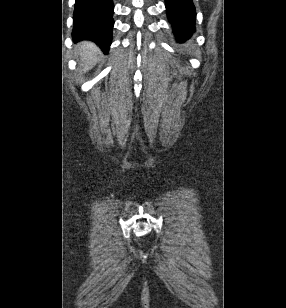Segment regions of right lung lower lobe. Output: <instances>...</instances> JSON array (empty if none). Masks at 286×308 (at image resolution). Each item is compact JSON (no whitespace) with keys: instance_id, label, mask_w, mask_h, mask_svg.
<instances>
[{"instance_id":"obj_1","label":"right lung lower lobe","mask_w":286,"mask_h":308,"mask_svg":"<svg viewBox=\"0 0 286 308\" xmlns=\"http://www.w3.org/2000/svg\"><path fill=\"white\" fill-rule=\"evenodd\" d=\"M113 10L112 0H75L74 42L91 40L107 53L112 41Z\"/></svg>"}]
</instances>
